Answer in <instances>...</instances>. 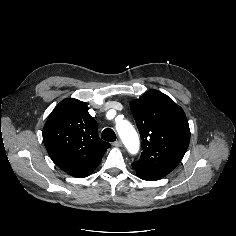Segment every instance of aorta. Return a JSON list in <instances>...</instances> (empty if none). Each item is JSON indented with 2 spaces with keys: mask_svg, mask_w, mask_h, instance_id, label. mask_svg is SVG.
Wrapping results in <instances>:
<instances>
[{
  "mask_svg": "<svg viewBox=\"0 0 236 236\" xmlns=\"http://www.w3.org/2000/svg\"><path fill=\"white\" fill-rule=\"evenodd\" d=\"M116 129L128 151L136 154L139 149V138L132 125L124 120L117 124Z\"/></svg>",
  "mask_w": 236,
  "mask_h": 236,
  "instance_id": "762f6f07",
  "label": "aorta"
}]
</instances>
